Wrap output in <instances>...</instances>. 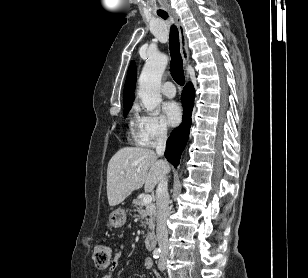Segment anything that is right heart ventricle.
Instances as JSON below:
<instances>
[{
  "label": "right heart ventricle",
  "mask_w": 308,
  "mask_h": 278,
  "mask_svg": "<svg viewBox=\"0 0 308 278\" xmlns=\"http://www.w3.org/2000/svg\"><path fill=\"white\" fill-rule=\"evenodd\" d=\"M137 117H134L132 120V124H135Z\"/></svg>",
  "instance_id": "right-heart-ventricle-1"
}]
</instances>
